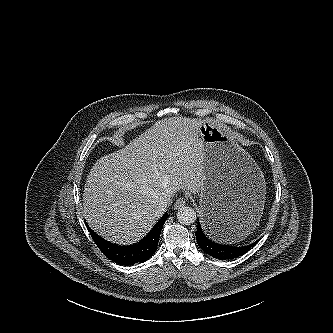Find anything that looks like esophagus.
I'll return each instance as SVG.
<instances>
[{
	"mask_svg": "<svg viewBox=\"0 0 333 333\" xmlns=\"http://www.w3.org/2000/svg\"><path fill=\"white\" fill-rule=\"evenodd\" d=\"M186 204V200L184 198H179L174 203V209H180Z\"/></svg>",
	"mask_w": 333,
	"mask_h": 333,
	"instance_id": "34e87169",
	"label": "esophagus"
}]
</instances>
